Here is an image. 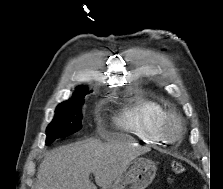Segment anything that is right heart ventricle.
<instances>
[{
    "mask_svg": "<svg viewBox=\"0 0 223 189\" xmlns=\"http://www.w3.org/2000/svg\"><path fill=\"white\" fill-rule=\"evenodd\" d=\"M166 113V108L155 99L132 98L115 115L114 123L146 144H163L166 139L160 126Z\"/></svg>",
    "mask_w": 223,
    "mask_h": 189,
    "instance_id": "e07e8e85",
    "label": "right heart ventricle"
}]
</instances>
